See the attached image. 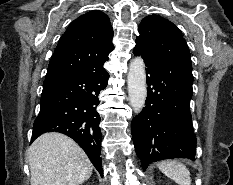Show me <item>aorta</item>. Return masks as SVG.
Returning a JSON list of instances; mask_svg holds the SVG:
<instances>
[{"instance_id":"aorta-1","label":"aorta","mask_w":233,"mask_h":185,"mask_svg":"<svg viewBox=\"0 0 233 185\" xmlns=\"http://www.w3.org/2000/svg\"><path fill=\"white\" fill-rule=\"evenodd\" d=\"M127 83L130 105L135 113H140L147 95L145 64L141 57L130 62Z\"/></svg>"}]
</instances>
